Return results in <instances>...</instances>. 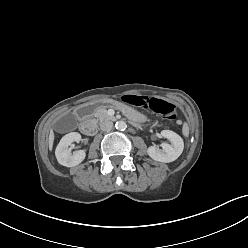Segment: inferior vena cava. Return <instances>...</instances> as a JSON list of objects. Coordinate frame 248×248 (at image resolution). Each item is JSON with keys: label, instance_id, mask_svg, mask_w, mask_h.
<instances>
[{"label": "inferior vena cava", "instance_id": "obj_1", "mask_svg": "<svg viewBox=\"0 0 248 248\" xmlns=\"http://www.w3.org/2000/svg\"><path fill=\"white\" fill-rule=\"evenodd\" d=\"M112 127H113V123H112V121H109V120H105V121L101 122V124H100V128L103 131H109Z\"/></svg>", "mask_w": 248, "mask_h": 248}]
</instances>
